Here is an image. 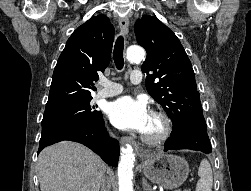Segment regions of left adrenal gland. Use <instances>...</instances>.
Masks as SVG:
<instances>
[{"label": "left adrenal gland", "instance_id": "a2214340", "mask_svg": "<svg viewBox=\"0 0 251 191\" xmlns=\"http://www.w3.org/2000/svg\"><path fill=\"white\" fill-rule=\"evenodd\" d=\"M142 181H143V191H152L151 185H149L147 179H144L143 177Z\"/></svg>", "mask_w": 251, "mask_h": 191}]
</instances>
